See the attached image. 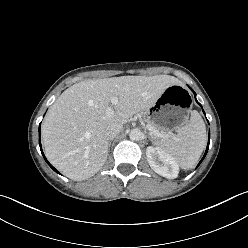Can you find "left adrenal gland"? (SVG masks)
Here are the masks:
<instances>
[{
    "label": "left adrenal gland",
    "instance_id": "left-adrenal-gland-1",
    "mask_svg": "<svg viewBox=\"0 0 248 248\" xmlns=\"http://www.w3.org/2000/svg\"><path fill=\"white\" fill-rule=\"evenodd\" d=\"M147 137L153 143V138H151L150 136H147Z\"/></svg>",
    "mask_w": 248,
    "mask_h": 248
}]
</instances>
